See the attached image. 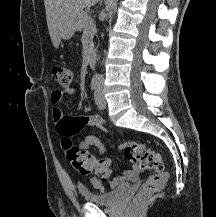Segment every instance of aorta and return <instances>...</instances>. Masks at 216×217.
I'll return each mask as SVG.
<instances>
[{
  "label": "aorta",
  "instance_id": "1",
  "mask_svg": "<svg viewBox=\"0 0 216 217\" xmlns=\"http://www.w3.org/2000/svg\"><path fill=\"white\" fill-rule=\"evenodd\" d=\"M113 1V7L115 6V3L118 1V0H112Z\"/></svg>",
  "mask_w": 216,
  "mask_h": 217
}]
</instances>
